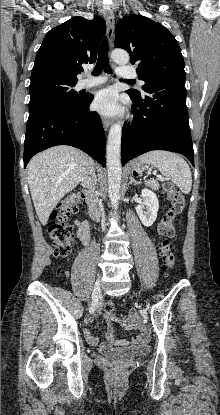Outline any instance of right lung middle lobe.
I'll return each mask as SVG.
<instances>
[{
  "label": "right lung middle lobe",
  "mask_w": 220,
  "mask_h": 415,
  "mask_svg": "<svg viewBox=\"0 0 220 415\" xmlns=\"http://www.w3.org/2000/svg\"><path fill=\"white\" fill-rule=\"evenodd\" d=\"M76 82L57 78L31 80L29 116L54 105L74 104L82 96L72 89Z\"/></svg>",
  "instance_id": "dd1d6c3e"
}]
</instances>
